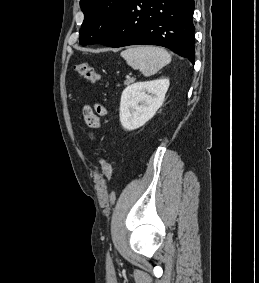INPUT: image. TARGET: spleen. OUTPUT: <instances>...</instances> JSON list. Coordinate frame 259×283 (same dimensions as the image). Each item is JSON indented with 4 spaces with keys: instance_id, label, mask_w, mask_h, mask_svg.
I'll use <instances>...</instances> for the list:
<instances>
[{
    "instance_id": "3e777b00",
    "label": "spleen",
    "mask_w": 259,
    "mask_h": 283,
    "mask_svg": "<svg viewBox=\"0 0 259 283\" xmlns=\"http://www.w3.org/2000/svg\"><path fill=\"white\" fill-rule=\"evenodd\" d=\"M127 64L135 70H140L144 76L156 74L171 62L170 54L161 47L133 46L121 52Z\"/></svg>"
}]
</instances>
